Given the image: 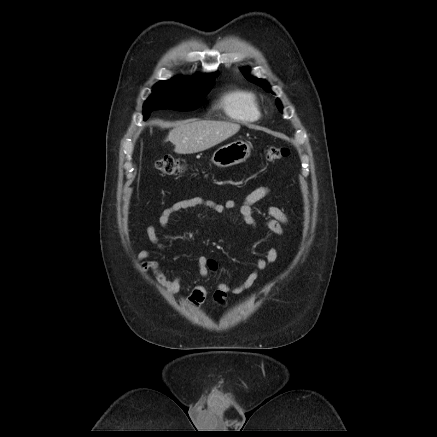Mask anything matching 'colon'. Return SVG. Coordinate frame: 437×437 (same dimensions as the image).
<instances>
[{
  "label": "colon",
  "mask_w": 437,
  "mask_h": 437,
  "mask_svg": "<svg viewBox=\"0 0 437 437\" xmlns=\"http://www.w3.org/2000/svg\"><path fill=\"white\" fill-rule=\"evenodd\" d=\"M289 155L286 147H269L265 150L266 160L274 162ZM155 168L166 175H179L183 172V165L180 159L174 156H164L155 162Z\"/></svg>",
  "instance_id": "1"
}]
</instances>
